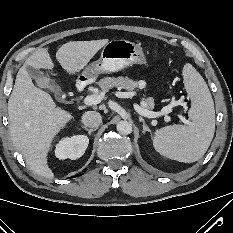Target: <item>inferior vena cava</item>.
I'll return each mask as SVG.
<instances>
[{"mask_svg": "<svg viewBox=\"0 0 233 233\" xmlns=\"http://www.w3.org/2000/svg\"><path fill=\"white\" fill-rule=\"evenodd\" d=\"M82 123L87 127L97 128L102 123V117L96 111H87L82 116Z\"/></svg>", "mask_w": 233, "mask_h": 233, "instance_id": "obj_1", "label": "inferior vena cava"}]
</instances>
